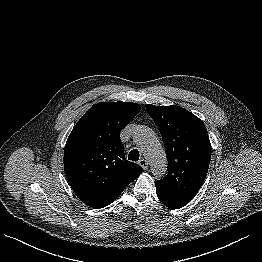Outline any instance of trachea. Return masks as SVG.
Returning <instances> with one entry per match:
<instances>
[{
	"label": "trachea",
	"instance_id": "trachea-1",
	"mask_svg": "<svg viewBox=\"0 0 262 262\" xmlns=\"http://www.w3.org/2000/svg\"><path fill=\"white\" fill-rule=\"evenodd\" d=\"M139 151L137 149H133L130 151L128 155V159L131 161H138L139 160Z\"/></svg>",
	"mask_w": 262,
	"mask_h": 262
}]
</instances>
